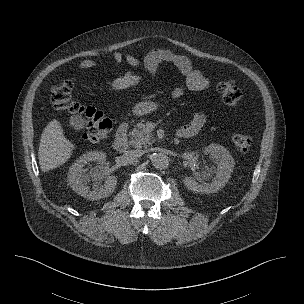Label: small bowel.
Here are the masks:
<instances>
[{
	"instance_id": "1",
	"label": "small bowel",
	"mask_w": 304,
	"mask_h": 304,
	"mask_svg": "<svg viewBox=\"0 0 304 304\" xmlns=\"http://www.w3.org/2000/svg\"><path fill=\"white\" fill-rule=\"evenodd\" d=\"M110 57L115 63H120L122 60H125L128 64L134 67L142 64L148 73H153L161 63L167 62L173 64L185 78V86H180L173 90L172 96L174 98L181 97L186 88L192 91H202L208 89L211 85L210 79L207 78L200 70L196 69L188 57L168 49L151 50L147 53L142 63L131 54L123 56L119 52H113ZM98 65V61L86 59L80 63L79 68L90 69ZM205 121V115L202 112H196L193 115L191 122L179 129L178 135L180 137H191L196 135L205 124Z\"/></svg>"
}]
</instances>
